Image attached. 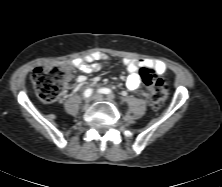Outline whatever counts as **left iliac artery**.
<instances>
[{
  "mask_svg": "<svg viewBox=\"0 0 222 187\" xmlns=\"http://www.w3.org/2000/svg\"><path fill=\"white\" fill-rule=\"evenodd\" d=\"M100 93L107 94L109 97H112L111 90L108 88H102L99 90Z\"/></svg>",
  "mask_w": 222,
  "mask_h": 187,
  "instance_id": "44dca946",
  "label": "left iliac artery"
}]
</instances>
